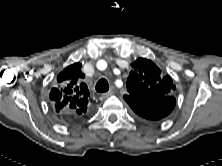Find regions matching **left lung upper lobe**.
Segmentation results:
<instances>
[{
  "instance_id": "1",
  "label": "left lung upper lobe",
  "mask_w": 222,
  "mask_h": 166,
  "mask_svg": "<svg viewBox=\"0 0 222 166\" xmlns=\"http://www.w3.org/2000/svg\"><path fill=\"white\" fill-rule=\"evenodd\" d=\"M132 67L134 70L126 82L128 94L124 95V99L137 116L143 117L145 113L158 111L163 98L172 96L176 87L172 78L163 76L151 60L140 58Z\"/></svg>"
}]
</instances>
